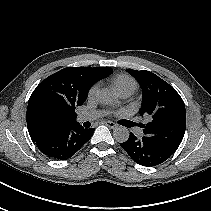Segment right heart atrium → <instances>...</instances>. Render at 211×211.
<instances>
[{
    "mask_svg": "<svg viewBox=\"0 0 211 211\" xmlns=\"http://www.w3.org/2000/svg\"><path fill=\"white\" fill-rule=\"evenodd\" d=\"M98 92V85L94 84L88 91V97L93 98Z\"/></svg>",
    "mask_w": 211,
    "mask_h": 211,
    "instance_id": "d8ad5b80",
    "label": "right heart atrium"
}]
</instances>
